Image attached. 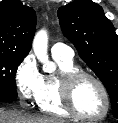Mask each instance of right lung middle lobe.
<instances>
[{"label": "right lung middle lobe", "instance_id": "1", "mask_svg": "<svg viewBox=\"0 0 118 123\" xmlns=\"http://www.w3.org/2000/svg\"><path fill=\"white\" fill-rule=\"evenodd\" d=\"M25 57L0 53V98H17L15 75L17 67Z\"/></svg>", "mask_w": 118, "mask_h": 123}]
</instances>
